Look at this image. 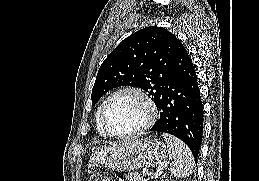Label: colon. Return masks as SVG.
<instances>
[{
    "instance_id": "5ec220e1",
    "label": "colon",
    "mask_w": 259,
    "mask_h": 181,
    "mask_svg": "<svg viewBox=\"0 0 259 181\" xmlns=\"http://www.w3.org/2000/svg\"><path fill=\"white\" fill-rule=\"evenodd\" d=\"M89 181H107V180L103 175L99 173H95L90 177Z\"/></svg>"
}]
</instances>
